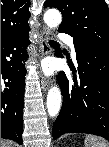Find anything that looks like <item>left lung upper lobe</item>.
<instances>
[{
  "label": "left lung upper lobe",
  "instance_id": "left-lung-upper-lobe-1",
  "mask_svg": "<svg viewBox=\"0 0 109 147\" xmlns=\"http://www.w3.org/2000/svg\"><path fill=\"white\" fill-rule=\"evenodd\" d=\"M44 6L61 11L59 29L109 48V9L104 0H46Z\"/></svg>",
  "mask_w": 109,
  "mask_h": 147
}]
</instances>
